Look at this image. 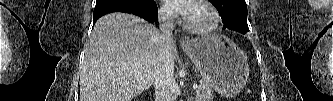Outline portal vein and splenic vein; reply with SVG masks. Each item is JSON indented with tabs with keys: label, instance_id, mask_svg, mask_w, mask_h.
Here are the masks:
<instances>
[{
	"label": "portal vein and splenic vein",
	"instance_id": "18ae733b",
	"mask_svg": "<svg viewBox=\"0 0 333 101\" xmlns=\"http://www.w3.org/2000/svg\"><path fill=\"white\" fill-rule=\"evenodd\" d=\"M198 88V85L197 84H194L193 85V89L195 90V89H197Z\"/></svg>",
	"mask_w": 333,
	"mask_h": 101
}]
</instances>
